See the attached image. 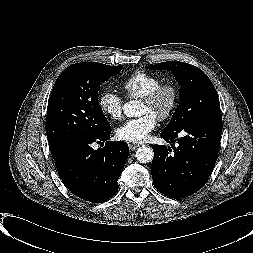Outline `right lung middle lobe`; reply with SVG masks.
<instances>
[{"mask_svg": "<svg viewBox=\"0 0 253 253\" xmlns=\"http://www.w3.org/2000/svg\"><path fill=\"white\" fill-rule=\"evenodd\" d=\"M122 68V65L82 62L69 66L59 75L46 116L52 155L71 140L82 135H96L110 126L99 105L98 89Z\"/></svg>", "mask_w": 253, "mask_h": 253, "instance_id": "obj_1", "label": "right lung middle lobe"}]
</instances>
